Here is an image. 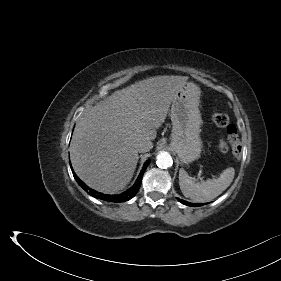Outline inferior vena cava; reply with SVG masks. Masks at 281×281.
<instances>
[{"instance_id":"1","label":"inferior vena cava","mask_w":281,"mask_h":281,"mask_svg":"<svg viewBox=\"0 0 281 281\" xmlns=\"http://www.w3.org/2000/svg\"><path fill=\"white\" fill-rule=\"evenodd\" d=\"M150 145L151 142H140L139 144H137L136 148L138 152H147Z\"/></svg>"}]
</instances>
